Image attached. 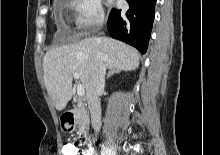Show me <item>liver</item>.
Returning <instances> with one entry per match:
<instances>
[{
    "label": "liver",
    "instance_id": "6515ba94",
    "mask_svg": "<svg viewBox=\"0 0 220 155\" xmlns=\"http://www.w3.org/2000/svg\"><path fill=\"white\" fill-rule=\"evenodd\" d=\"M99 52L105 55V65L109 69L130 71L139 66V54L134 48L109 37L85 38L46 52L44 82L58 111L63 110L72 97L74 72L79 74L81 84L87 88Z\"/></svg>",
    "mask_w": 220,
    "mask_h": 155
}]
</instances>
